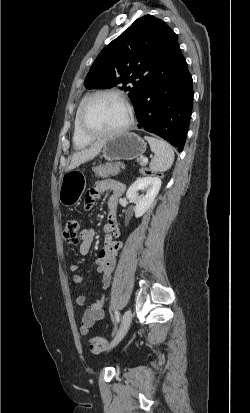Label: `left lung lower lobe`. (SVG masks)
I'll return each instance as SVG.
<instances>
[{
	"label": "left lung lower lobe",
	"instance_id": "left-lung-lower-lobe-1",
	"mask_svg": "<svg viewBox=\"0 0 250 413\" xmlns=\"http://www.w3.org/2000/svg\"><path fill=\"white\" fill-rule=\"evenodd\" d=\"M193 86L178 37L167 48L162 70L141 87L133 104L138 128L154 133L181 152L192 114Z\"/></svg>",
	"mask_w": 250,
	"mask_h": 413
}]
</instances>
